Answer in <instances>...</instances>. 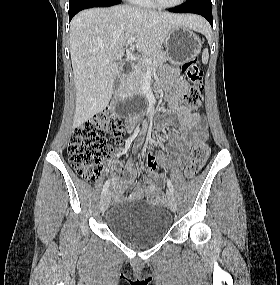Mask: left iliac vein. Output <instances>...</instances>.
I'll use <instances>...</instances> for the list:
<instances>
[{"instance_id": "4c4485c4", "label": "left iliac vein", "mask_w": 280, "mask_h": 285, "mask_svg": "<svg viewBox=\"0 0 280 285\" xmlns=\"http://www.w3.org/2000/svg\"><path fill=\"white\" fill-rule=\"evenodd\" d=\"M168 206H169V209L172 212H175L176 209H177L176 199H175L174 195L171 192L168 194Z\"/></svg>"}]
</instances>
